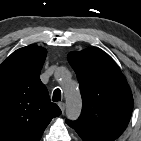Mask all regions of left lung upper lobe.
<instances>
[{"label":"left lung upper lobe","mask_w":141,"mask_h":141,"mask_svg":"<svg viewBox=\"0 0 141 141\" xmlns=\"http://www.w3.org/2000/svg\"><path fill=\"white\" fill-rule=\"evenodd\" d=\"M83 99L82 114L67 120L83 141H114L126 129L132 114L130 87L113 59L97 48L70 52Z\"/></svg>","instance_id":"5c2ea615"}]
</instances>
